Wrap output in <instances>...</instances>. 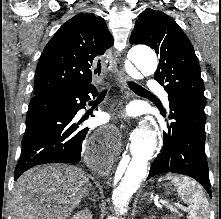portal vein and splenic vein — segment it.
Instances as JSON below:
<instances>
[{"label":"portal vein and splenic vein","instance_id":"1","mask_svg":"<svg viewBox=\"0 0 221 219\" xmlns=\"http://www.w3.org/2000/svg\"><path fill=\"white\" fill-rule=\"evenodd\" d=\"M162 203H163V204H169L168 201H162ZM174 206H176V207H178V208H181V209L184 210V211L187 210L183 205H181V204H179V203H174Z\"/></svg>","mask_w":221,"mask_h":219}]
</instances>
